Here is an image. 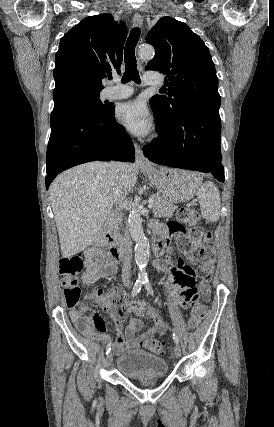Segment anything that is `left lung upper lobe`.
Masks as SVG:
<instances>
[{"label":"left lung upper lobe","mask_w":274,"mask_h":427,"mask_svg":"<svg viewBox=\"0 0 274 427\" xmlns=\"http://www.w3.org/2000/svg\"><path fill=\"white\" fill-rule=\"evenodd\" d=\"M146 42L155 56L147 70L166 75V95H155L150 104L163 114L164 122L190 109L219 114L218 78L210 52L200 37L180 21L162 17L148 33ZM169 125V124H168Z\"/></svg>","instance_id":"left-lung-upper-lobe-1"}]
</instances>
